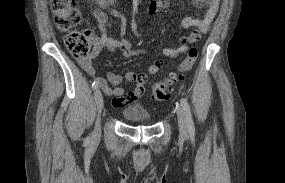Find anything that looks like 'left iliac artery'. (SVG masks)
<instances>
[{"instance_id":"44dca946","label":"left iliac artery","mask_w":285,"mask_h":183,"mask_svg":"<svg viewBox=\"0 0 285 183\" xmlns=\"http://www.w3.org/2000/svg\"><path fill=\"white\" fill-rule=\"evenodd\" d=\"M180 103H181V106H182L184 113H185L188 130L190 133H194L195 127H194V122H193V118L191 115L190 106H189L187 100L184 98H181Z\"/></svg>"}]
</instances>
